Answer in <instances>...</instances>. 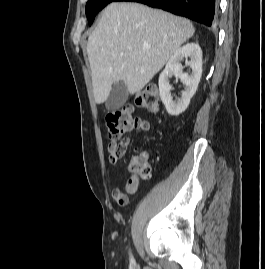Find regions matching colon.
I'll use <instances>...</instances> for the list:
<instances>
[{"mask_svg": "<svg viewBox=\"0 0 265 269\" xmlns=\"http://www.w3.org/2000/svg\"><path fill=\"white\" fill-rule=\"evenodd\" d=\"M136 104L138 107L149 112H156L159 107V93L154 86H148L137 94ZM145 127V120L134 116L131 105L123 106L110 111L106 116L107 137L116 141L134 130H142ZM130 179L147 180L151 176V168L147 156L138 153L130 163Z\"/></svg>", "mask_w": 265, "mask_h": 269, "instance_id": "5ec220e1", "label": "colon"}]
</instances>
